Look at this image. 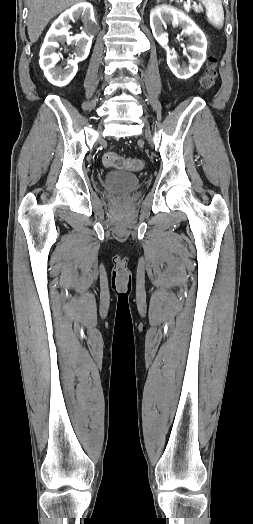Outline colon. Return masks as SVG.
<instances>
[{
  "instance_id": "5ec220e1",
  "label": "colon",
  "mask_w": 253,
  "mask_h": 524,
  "mask_svg": "<svg viewBox=\"0 0 253 524\" xmlns=\"http://www.w3.org/2000/svg\"><path fill=\"white\" fill-rule=\"evenodd\" d=\"M218 76L217 60L210 58L208 60L207 70L201 78L200 87L202 90H210L216 83ZM103 163L107 167L126 169L131 171H140L144 167V162L138 158H124L116 152H107L103 156Z\"/></svg>"
}]
</instances>
